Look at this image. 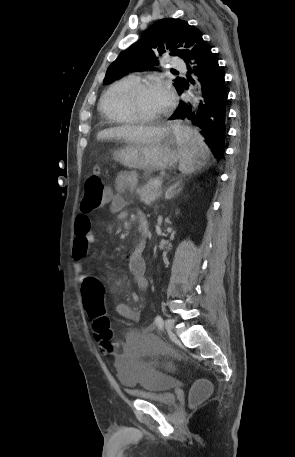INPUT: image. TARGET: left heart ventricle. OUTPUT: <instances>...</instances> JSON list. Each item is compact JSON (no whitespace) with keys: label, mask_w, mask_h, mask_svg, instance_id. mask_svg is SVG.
Instances as JSON below:
<instances>
[{"label":"left heart ventricle","mask_w":295,"mask_h":457,"mask_svg":"<svg viewBox=\"0 0 295 457\" xmlns=\"http://www.w3.org/2000/svg\"><path fill=\"white\" fill-rule=\"evenodd\" d=\"M138 106L142 113L149 116L159 115L166 109L156 93V86L143 90L139 94Z\"/></svg>","instance_id":"obj_1"}]
</instances>
